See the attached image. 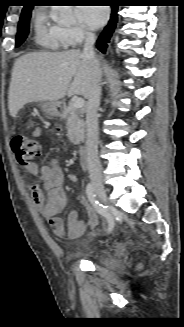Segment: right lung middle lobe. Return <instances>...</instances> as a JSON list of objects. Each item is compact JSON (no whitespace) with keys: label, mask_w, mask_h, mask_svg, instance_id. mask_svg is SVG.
Instances as JSON below:
<instances>
[{"label":"right lung middle lobe","mask_w":184,"mask_h":327,"mask_svg":"<svg viewBox=\"0 0 184 327\" xmlns=\"http://www.w3.org/2000/svg\"><path fill=\"white\" fill-rule=\"evenodd\" d=\"M31 11L32 9L21 14L17 28L16 47L20 46L29 34Z\"/></svg>","instance_id":"right-lung-middle-lobe-1"}]
</instances>
